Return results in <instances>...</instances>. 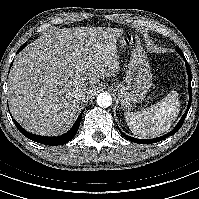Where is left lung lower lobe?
Returning <instances> with one entry per match:
<instances>
[{
	"mask_svg": "<svg viewBox=\"0 0 199 199\" xmlns=\"http://www.w3.org/2000/svg\"><path fill=\"white\" fill-rule=\"evenodd\" d=\"M176 51L181 55V57H184L183 55V52L180 50V48H176ZM186 64V67H187V73H188V79H189V84H188V89H189V102H188V106H187V110L186 112L183 114L182 118L180 119V121L178 122V124L176 125V127L169 133L161 136V137H158V138H154V139H146V140H142V139H137V138H133V137H130V136H127L125 135L120 129V133L128 140L132 141V142H135V143H140V144H147V143H155V142H159V141H162L164 140L165 138L175 134L180 128L181 126L183 125V122L186 118V115L188 113V110L191 106V101H192V88H191V79H192V76H191V70H190V67L188 66V63L187 61L185 62Z\"/></svg>",
	"mask_w": 199,
	"mask_h": 199,
	"instance_id": "1",
	"label": "left lung lower lobe"
}]
</instances>
